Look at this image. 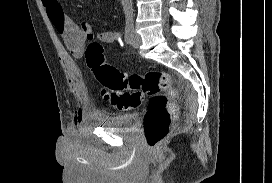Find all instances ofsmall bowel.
<instances>
[{
  "label": "small bowel",
  "instance_id": "obj_1",
  "mask_svg": "<svg viewBox=\"0 0 272 183\" xmlns=\"http://www.w3.org/2000/svg\"><path fill=\"white\" fill-rule=\"evenodd\" d=\"M42 3L53 26L61 35L70 53L76 58L83 56L85 44L89 40L97 39L104 44H113L121 38L116 31L104 30L95 34L90 23L86 21L74 22L64 13L61 0H42ZM75 113L76 119L78 117L80 123L81 114Z\"/></svg>",
  "mask_w": 272,
  "mask_h": 183
}]
</instances>
